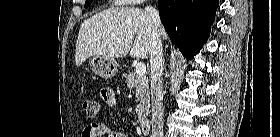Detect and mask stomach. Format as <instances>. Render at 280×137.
I'll return each instance as SVG.
<instances>
[{"label":"stomach","mask_w":280,"mask_h":137,"mask_svg":"<svg viewBox=\"0 0 280 137\" xmlns=\"http://www.w3.org/2000/svg\"><path fill=\"white\" fill-rule=\"evenodd\" d=\"M90 64L93 72L102 78L110 79L117 73V65L113 59L93 56Z\"/></svg>","instance_id":"0dacf381"}]
</instances>
